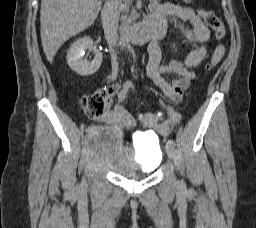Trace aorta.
Segmentation results:
<instances>
[{
    "instance_id": "1",
    "label": "aorta",
    "mask_w": 256,
    "mask_h": 228,
    "mask_svg": "<svg viewBox=\"0 0 256 228\" xmlns=\"http://www.w3.org/2000/svg\"><path fill=\"white\" fill-rule=\"evenodd\" d=\"M129 52L133 55V57L135 56L134 54V50L132 49V47L130 45L127 46Z\"/></svg>"
}]
</instances>
